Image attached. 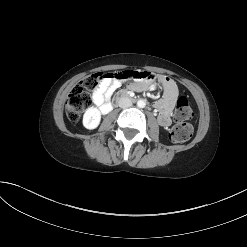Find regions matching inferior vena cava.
Here are the masks:
<instances>
[{"mask_svg": "<svg viewBox=\"0 0 247 247\" xmlns=\"http://www.w3.org/2000/svg\"><path fill=\"white\" fill-rule=\"evenodd\" d=\"M118 105L121 108H128V107L132 106V101H131V99L129 97L124 96V97H121L119 99Z\"/></svg>", "mask_w": 247, "mask_h": 247, "instance_id": "obj_1", "label": "inferior vena cava"}]
</instances>
